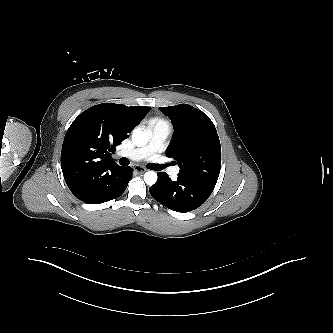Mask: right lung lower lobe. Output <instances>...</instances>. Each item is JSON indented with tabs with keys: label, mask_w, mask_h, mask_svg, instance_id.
<instances>
[{
	"label": "right lung lower lobe",
	"mask_w": 333,
	"mask_h": 333,
	"mask_svg": "<svg viewBox=\"0 0 333 333\" xmlns=\"http://www.w3.org/2000/svg\"><path fill=\"white\" fill-rule=\"evenodd\" d=\"M132 178L131 167H120L116 172L99 181L78 198L88 204H100L121 196Z\"/></svg>",
	"instance_id": "obj_1"
}]
</instances>
